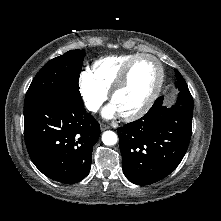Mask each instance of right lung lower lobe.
I'll use <instances>...</instances> for the list:
<instances>
[{"mask_svg":"<svg viewBox=\"0 0 221 221\" xmlns=\"http://www.w3.org/2000/svg\"><path fill=\"white\" fill-rule=\"evenodd\" d=\"M85 111L83 105L58 98L24 108L26 147L47 177L73 184L88 175L100 126Z\"/></svg>","mask_w":221,"mask_h":221,"instance_id":"1","label":"right lung lower lobe"}]
</instances>
